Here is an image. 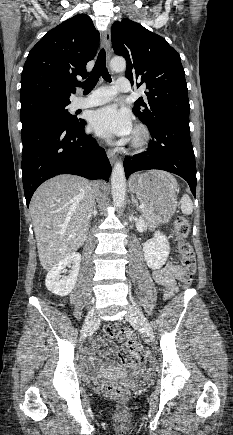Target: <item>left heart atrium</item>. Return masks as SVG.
I'll list each match as a JSON object with an SVG mask.
<instances>
[{
	"mask_svg": "<svg viewBox=\"0 0 233 435\" xmlns=\"http://www.w3.org/2000/svg\"><path fill=\"white\" fill-rule=\"evenodd\" d=\"M89 124L93 131L108 139L125 137L132 131L129 112L117 105H107L93 111Z\"/></svg>",
	"mask_w": 233,
	"mask_h": 435,
	"instance_id": "39dd6f15",
	"label": "left heart atrium"
}]
</instances>
